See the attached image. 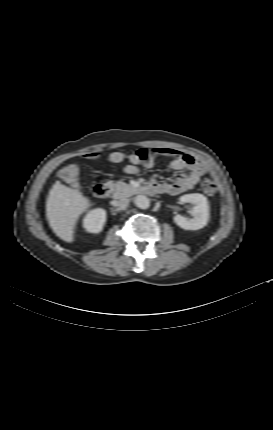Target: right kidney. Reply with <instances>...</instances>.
<instances>
[{
    "label": "right kidney",
    "mask_w": 273,
    "mask_h": 430,
    "mask_svg": "<svg viewBox=\"0 0 273 430\" xmlns=\"http://www.w3.org/2000/svg\"><path fill=\"white\" fill-rule=\"evenodd\" d=\"M106 222V212L102 208L90 211L84 219V228L90 233H99L102 231Z\"/></svg>",
    "instance_id": "1"
}]
</instances>
